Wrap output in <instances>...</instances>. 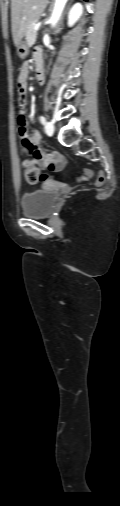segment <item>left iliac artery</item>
<instances>
[{"label":"left iliac artery","mask_w":120,"mask_h":506,"mask_svg":"<svg viewBox=\"0 0 120 506\" xmlns=\"http://www.w3.org/2000/svg\"><path fill=\"white\" fill-rule=\"evenodd\" d=\"M40 122H41V124H43V125L46 123V119H45V117H44V116H40Z\"/></svg>","instance_id":"1"}]
</instances>
